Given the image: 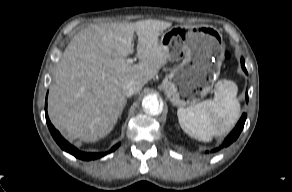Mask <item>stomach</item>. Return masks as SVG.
<instances>
[{
    "instance_id": "obj_1",
    "label": "stomach",
    "mask_w": 292,
    "mask_h": 192,
    "mask_svg": "<svg viewBox=\"0 0 292 192\" xmlns=\"http://www.w3.org/2000/svg\"><path fill=\"white\" fill-rule=\"evenodd\" d=\"M161 46L169 61H181L163 80L170 102L192 106L213 88L223 58L222 36L211 26H175L162 33Z\"/></svg>"
}]
</instances>
